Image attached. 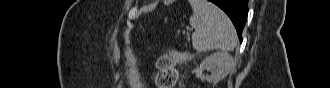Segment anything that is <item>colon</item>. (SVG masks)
<instances>
[{"mask_svg": "<svg viewBox=\"0 0 330 88\" xmlns=\"http://www.w3.org/2000/svg\"><path fill=\"white\" fill-rule=\"evenodd\" d=\"M158 75H157V87L158 88H173L177 80V71L174 63L167 54H162L158 61Z\"/></svg>", "mask_w": 330, "mask_h": 88, "instance_id": "obj_1", "label": "colon"}]
</instances>
